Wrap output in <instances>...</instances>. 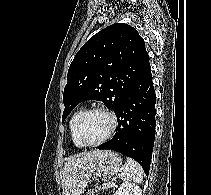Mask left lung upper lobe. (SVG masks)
Listing matches in <instances>:
<instances>
[{
  "label": "left lung upper lobe",
  "mask_w": 211,
  "mask_h": 195,
  "mask_svg": "<svg viewBox=\"0 0 211 195\" xmlns=\"http://www.w3.org/2000/svg\"><path fill=\"white\" fill-rule=\"evenodd\" d=\"M149 65L137 30L116 23L91 37L77 52L64 88L62 121L85 100L102 101L115 113Z\"/></svg>",
  "instance_id": "left-lung-upper-lobe-1"
}]
</instances>
